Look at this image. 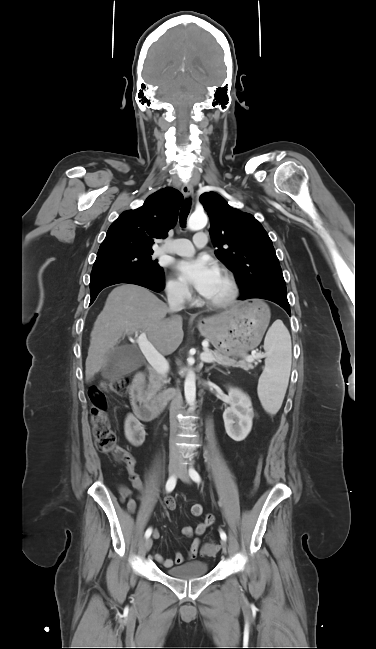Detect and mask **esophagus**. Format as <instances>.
Here are the masks:
<instances>
[{
	"label": "esophagus",
	"instance_id": "1",
	"mask_svg": "<svg viewBox=\"0 0 376 649\" xmlns=\"http://www.w3.org/2000/svg\"><path fill=\"white\" fill-rule=\"evenodd\" d=\"M181 191L184 197L189 198L193 195L194 189L191 183H186L182 186Z\"/></svg>",
	"mask_w": 376,
	"mask_h": 649
}]
</instances>
